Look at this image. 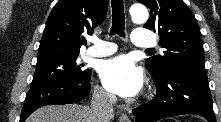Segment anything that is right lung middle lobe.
Segmentation results:
<instances>
[{
  "instance_id": "1",
  "label": "right lung middle lobe",
  "mask_w": 221,
  "mask_h": 122,
  "mask_svg": "<svg viewBox=\"0 0 221 122\" xmlns=\"http://www.w3.org/2000/svg\"><path fill=\"white\" fill-rule=\"evenodd\" d=\"M78 54L58 55L38 59L31 86L66 80L79 81L86 78L90 69L77 63Z\"/></svg>"
}]
</instances>
